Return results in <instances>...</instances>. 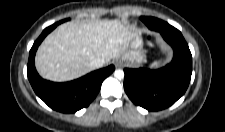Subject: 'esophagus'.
<instances>
[{
  "label": "esophagus",
  "instance_id": "1",
  "mask_svg": "<svg viewBox=\"0 0 225 132\" xmlns=\"http://www.w3.org/2000/svg\"><path fill=\"white\" fill-rule=\"evenodd\" d=\"M116 66H120V63H119V62H117V63H116Z\"/></svg>",
  "mask_w": 225,
  "mask_h": 132
}]
</instances>
